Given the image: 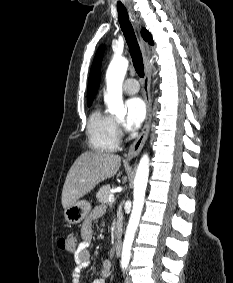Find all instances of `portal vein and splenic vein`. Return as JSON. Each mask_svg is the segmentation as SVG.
Listing matches in <instances>:
<instances>
[{"label":"portal vein and splenic vein","mask_w":233,"mask_h":283,"mask_svg":"<svg viewBox=\"0 0 233 283\" xmlns=\"http://www.w3.org/2000/svg\"><path fill=\"white\" fill-rule=\"evenodd\" d=\"M114 200H115L114 195L113 194L109 195L108 201L113 202Z\"/></svg>","instance_id":"obj_1"}]
</instances>
